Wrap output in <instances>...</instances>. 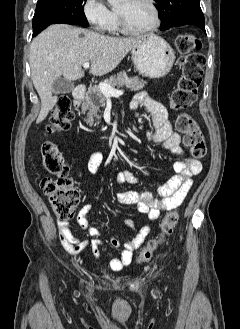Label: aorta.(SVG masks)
<instances>
[{"mask_svg":"<svg viewBox=\"0 0 240 329\" xmlns=\"http://www.w3.org/2000/svg\"><path fill=\"white\" fill-rule=\"evenodd\" d=\"M111 5H117L121 3L123 0H107Z\"/></svg>","mask_w":240,"mask_h":329,"instance_id":"aorta-1","label":"aorta"}]
</instances>
